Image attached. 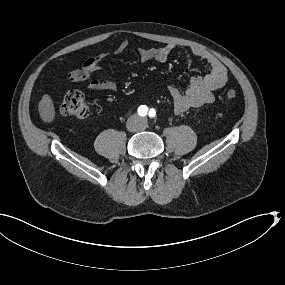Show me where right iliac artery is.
I'll use <instances>...</instances> for the list:
<instances>
[{
  "label": "right iliac artery",
  "instance_id": "82829eb1",
  "mask_svg": "<svg viewBox=\"0 0 285 285\" xmlns=\"http://www.w3.org/2000/svg\"><path fill=\"white\" fill-rule=\"evenodd\" d=\"M147 110H148V108L146 106H141L138 109V114L145 116L147 114Z\"/></svg>",
  "mask_w": 285,
  "mask_h": 285
}]
</instances>
